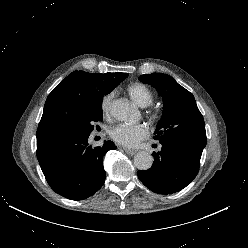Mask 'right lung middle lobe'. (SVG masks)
Masks as SVG:
<instances>
[{"label":"right lung middle lobe","mask_w":248,"mask_h":248,"mask_svg":"<svg viewBox=\"0 0 248 248\" xmlns=\"http://www.w3.org/2000/svg\"><path fill=\"white\" fill-rule=\"evenodd\" d=\"M128 77V74L125 73L121 80H124ZM119 83L110 89L103 90L97 97H95L83 110L63 115L58 121H56L52 128H49V125H45V128L50 130L54 128H67L71 130H76L82 133H91L93 131V124L98 121H102V101L103 96L110 93ZM48 130V131H50ZM47 131V132H48ZM37 136L38 129H37Z\"/></svg>","instance_id":"dd1d6c3e"}]
</instances>
